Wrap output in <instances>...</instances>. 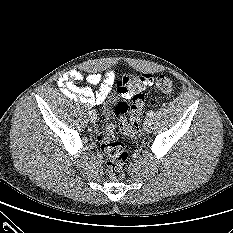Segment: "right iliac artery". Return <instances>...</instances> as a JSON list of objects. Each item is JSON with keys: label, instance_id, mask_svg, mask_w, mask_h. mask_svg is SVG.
Segmentation results:
<instances>
[{"label": "right iliac artery", "instance_id": "right-iliac-artery-1", "mask_svg": "<svg viewBox=\"0 0 233 233\" xmlns=\"http://www.w3.org/2000/svg\"><path fill=\"white\" fill-rule=\"evenodd\" d=\"M84 108H85V111H87L88 113L91 111V108L89 107V105H85Z\"/></svg>", "mask_w": 233, "mask_h": 233}]
</instances>
